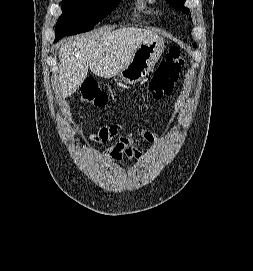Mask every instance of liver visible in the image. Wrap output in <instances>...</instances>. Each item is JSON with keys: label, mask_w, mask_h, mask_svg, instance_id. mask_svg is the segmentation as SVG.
Listing matches in <instances>:
<instances>
[{"label": "liver", "mask_w": 253, "mask_h": 271, "mask_svg": "<svg viewBox=\"0 0 253 271\" xmlns=\"http://www.w3.org/2000/svg\"><path fill=\"white\" fill-rule=\"evenodd\" d=\"M151 39L160 37L151 30L135 27L104 28L65 39L59 49L61 96L73 94L86 79L89 68L99 77L116 76L128 65L139 45Z\"/></svg>", "instance_id": "obj_1"}]
</instances>
